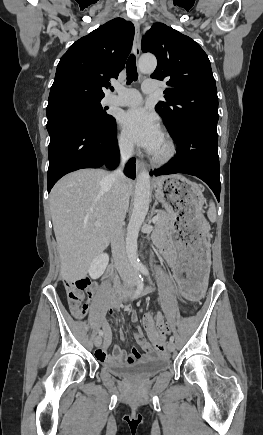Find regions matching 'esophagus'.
I'll return each instance as SVG.
<instances>
[{"mask_svg": "<svg viewBox=\"0 0 263 435\" xmlns=\"http://www.w3.org/2000/svg\"><path fill=\"white\" fill-rule=\"evenodd\" d=\"M135 26V36H134V54L138 58L141 54V47H140V26L138 22H134ZM144 168V162L140 159L136 160V169L137 171H140Z\"/></svg>", "mask_w": 263, "mask_h": 435, "instance_id": "1", "label": "esophagus"}]
</instances>
